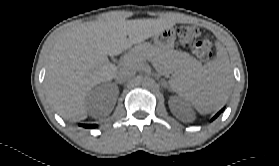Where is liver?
Segmentation results:
<instances>
[{
    "mask_svg": "<svg viewBox=\"0 0 279 166\" xmlns=\"http://www.w3.org/2000/svg\"><path fill=\"white\" fill-rule=\"evenodd\" d=\"M175 23V15L125 20L111 14L67 30L51 51L45 77L46 93L59 115L68 120L86 119L87 93L117 73L108 56L119 55Z\"/></svg>",
    "mask_w": 279,
    "mask_h": 166,
    "instance_id": "6515ba94",
    "label": "liver"
}]
</instances>
